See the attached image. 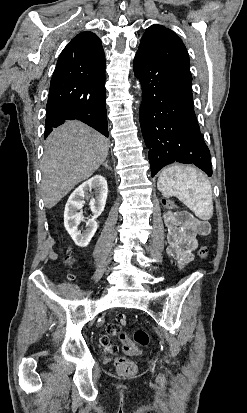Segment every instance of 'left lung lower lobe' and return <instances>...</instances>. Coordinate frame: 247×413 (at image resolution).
I'll list each match as a JSON object with an SVG mask.
<instances>
[{"label": "left lung lower lobe", "instance_id": "left-lung-lower-lobe-1", "mask_svg": "<svg viewBox=\"0 0 247 413\" xmlns=\"http://www.w3.org/2000/svg\"><path fill=\"white\" fill-rule=\"evenodd\" d=\"M133 68L142 85L140 125L151 175L180 162L212 176L210 152L193 109L192 79L142 51H137Z\"/></svg>", "mask_w": 247, "mask_h": 413}]
</instances>
